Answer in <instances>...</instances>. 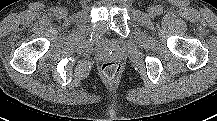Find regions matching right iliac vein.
I'll return each instance as SVG.
<instances>
[{"mask_svg": "<svg viewBox=\"0 0 217 121\" xmlns=\"http://www.w3.org/2000/svg\"><path fill=\"white\" fill-rule=\"evenodd\" d=\"M59 15H60L61 17L67 16V15H68L67 9H65V8L60 9Z\"/></svg>", "mask_w": 217, "mask_h": 121, "instance_id": "63e3f726", "label": "right iliac vein"}]
</instances>
